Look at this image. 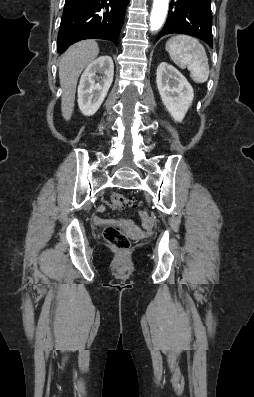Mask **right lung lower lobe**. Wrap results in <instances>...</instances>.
Returning a JSON list of instances; mask_svg holds the SVG:
<instances>
[{"label": "right lung lower lobe", "mask_w": 254, "mask_h": 397, "mask_svg": "<svg viewBox=\"0 0 254 397\" xmlns=\"http://www.w3.org/2000/svg\"><path fill=\"white\" fill-rule=\"evenodd\" d=\"M130 0H66L57 38V51L97 38L117 44Z\"/></svg>", "instance_id": "1"}]
</instances>
